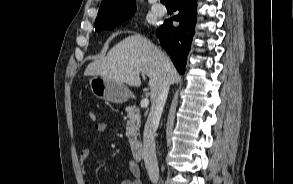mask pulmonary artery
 Here are the masks:
<instances>
[{"label":"pulmonary artery","mask_w":293,"mask_h":184,"mask_svg":"<svg viewBox=\"0 0 293 184\" xmlns=\"http://www.w3.org/2000/svg\"><path fill=\"white\" fill-rule=\"evenodd\" d=\"M151 9L156 15H159V16L164 15L166 12L165 6L160 4L159 2H154Z\"/></svg>","instance_id":"1"}]
</instances>
